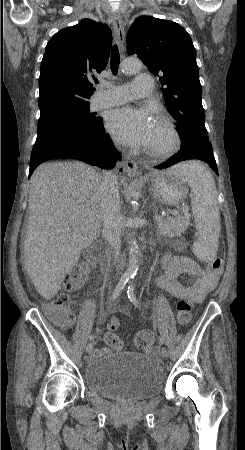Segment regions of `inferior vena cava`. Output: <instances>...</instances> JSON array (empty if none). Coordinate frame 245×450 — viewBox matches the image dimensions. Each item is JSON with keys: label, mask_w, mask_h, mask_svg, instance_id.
<instances>
[{"label": "inferior vena cava", "mask_w": 245, "mask_h": 450, "mask_svg": "<svg viewBox=\"0 0 245 450\" xmlns=\"http://www.w3.org/2000/svg\"><path fill=\"white\" fill-rule=\"evenodd\" d=\"M100 207L103 217V235L113 248L114 261L119 262L121 249V214L120 197L116 175L105 172L100 179Z\"/></svg>", "instance_id": "obj_1"}]
</instances>
